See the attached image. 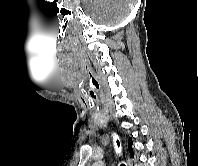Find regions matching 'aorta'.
<instances>
[{"label":"aorta","mask_w":198,"mask_h":166,"mask_svg":"<svg viewBox=\"0 0 198 166\" xmlns=\"http://www.w3.org/2000/svg\"><path fill=\"white\" fill-rule=\"evenodd\" d=\"M93 166H104V162L97 161Z\"/></svg>","instance_id":"1"}]
</instances>
